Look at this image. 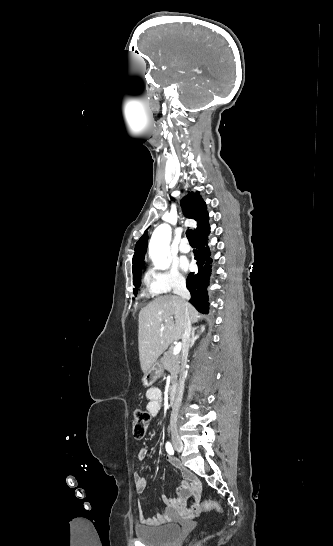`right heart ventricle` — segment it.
Listing matches in <instances>:
<instances>
[{
    "label": "right heart ventricle",
    "mask_w": 333,
    "mask_h": 546,
    "mask_svg": "<svg viewBox=\"0 0 333 546\" xmlns=\"http://www.w3.org/2000/svg\"><path fill=\"white\" fill-rule=\"evenodd\" d=\"M145 281L148 282V278H147V277H145Z\"/></svg>",
    "instance_id": "1"
}]
</instances>
